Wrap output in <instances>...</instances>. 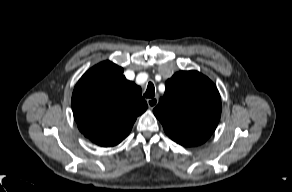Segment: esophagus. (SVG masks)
Here are the masks:
<instances>
[{
    "instance_id": "obj_1",
    "label": "esophagus",
    "mask_w": 292,
    "mask_h": 192,
    "mask_svg": "<svg viewBox=\"0 0 292 192\" xmlns=\"http://www.w3.org/2000/svg\"><path fill=\"white\" fill-rule=\"evenodd\" d=\"M147 104L150 109L154 108L158 104V98H149L147 99Z\"/></svg>"
}]
</instances>
